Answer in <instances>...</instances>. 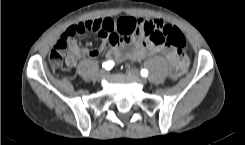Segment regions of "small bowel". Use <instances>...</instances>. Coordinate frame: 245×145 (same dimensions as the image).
I'll return each mask as SVG.
<instances>
[{
    "label": "small bowel",
    "instance_id": "1",
    "mask_svg": "<svg viewBox=\"0 0 245 145\" xmlns=\"http://www.w3.org/2000/svg\"><path fill=\"white\" fill-rule=\"evenodd\" d=\"M81 23L89 25L86 31L96 32L106 39L101 42L98 48L81 49L78 46L79 36L69 38L67 40V55L65 59L68 67H75L82 58L98 56L104 50H106L107 57L115 62L125 60L141 61L161 53L170 62L178 65L180 73L184 72L188 66L189 57L186 50L174 51L164 45L156 46L150 42L140 41L130 36L119 39L116 35L117 32L141 35L146 26L161 30L166 25L163 21L141 17H124L120 19L101 17L89 19Z\"/></svg>",
    "mask_w": 245,
    "mask_h": 145
}]
</instances>
